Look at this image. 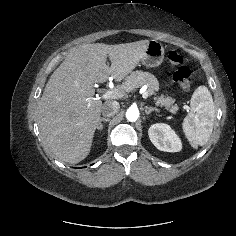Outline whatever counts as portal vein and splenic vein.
Returning <instances> with one entry per match:
<instances>
[{"label": "portal vein and splenic vein", "mask_w": 236, "mask_h": 236, "mask_svg": "<svg viewBox=\"0 0 236 236\" xmlns=\"http://www.w3.org/2000/svg\"><path fill=\"white\" fill-rule=\"evenodd\" d=\"M141 94H142V97L144 99H147L148 98V93L146 91V88L142 87L141 90H140ZM123 97V92L122 91H119L118 89H111V90H108L106 91L103 95H102V98L104 100H108V99H117V98H121ZM186 110L188 111V107H186ZM174 112V111H172Z\"/></svg>", "instance_id": "1"}]
</instances>
